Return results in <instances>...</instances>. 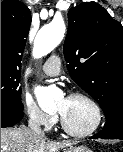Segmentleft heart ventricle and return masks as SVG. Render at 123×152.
<instances>
[{
	"label": "left heart ventricle",
	"instance_id": "left-heart-ventricle-1",
	"mask_svg": "<svg viewBox=\"0 0 123 152\" xmlns=\"http://www.w3.org/2000/svg\"><path fill=\"white\" fill-rule=\"evenodd\" d=\"M57 111L67 125L77 131L90 128L95 121V112L90 103L81 98H64L57 104Z\"/></svg>",
	"mask_w": 123,
	"mask_h": 152
}]
</instances>
